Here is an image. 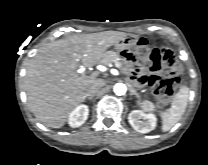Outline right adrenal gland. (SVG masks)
Listing matches in <instances>:
<instances>
[{
	"instance_id": "right-adrenal-gland-1",
	"label": "right adrenal gland",
	"mask_w": 208,
	"mask_h": 165,
	"mask_svg": "<svg viewBox=\"0 0 208 165\" xmlns=\"http://www.w3.org/2000/svg\"><path fill=\"white\" fill-rule=\"evenodd\" d=\"M94 98V95L93 94H87L85 96V99H88V100H92Z\"/></svg>"
}]
</instances>
